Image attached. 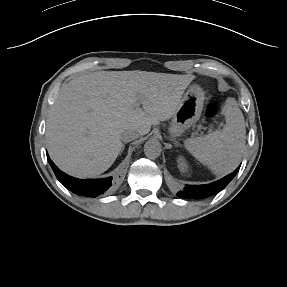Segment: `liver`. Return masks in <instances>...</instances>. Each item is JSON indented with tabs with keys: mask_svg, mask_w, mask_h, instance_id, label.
<instances>
[{
	"mask_svg": "<svg viewBox=\"0 0 287 287\" xmlns=\"http://www.w3.org/2000/svg\"><path fill=\"white\" fill-rule=\"evenodd\" d=\"M193 79L134 71L76 76L61 88L47 119L53 161L77 176L103 173L122 152V133L134 129L145 135L152 119H170ZM140 104L144 110L136 113Z\"/></svg>",
	"mask_w": 287,
	"mask_h": 287,
	"instance_id": "liver-1",
	"label": "liver"
}]
</instances>
